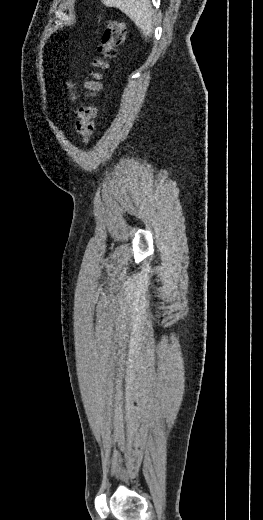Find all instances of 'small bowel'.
Masks as SVG:
<instances>
[{"mask_svg": "<svg viewBox=\"0 0 263 520\" xmlns=\"http://www.w3.org/2000/svg\"><path fill=\"white\" fill-rule=\"evenodd\" d=\"M67 88L69 89L70 93H71V98L74 99L75 98V94H74V86L71 82H67Z\"/></svg>", "mask_w": 263, "mask_h": 520, "instance_id": "c3829d8e", "label": "small bowel"}]
</instances>
